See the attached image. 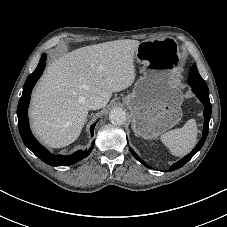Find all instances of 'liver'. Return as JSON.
<instances>
[{"instance_id": "1", "label": "liver", "mask_w": 227, "mask_h": 227, "mask_svg": "<svg viewBox=\"0 0 227 227\" xmlns=\"http://www.w3.org/2000/svg\"><path fill=\"white\" fill-rule=\"evenodd\" d=\"M140 42L123 39L78 48L49 64L32 94V131L46 146L73 143L86 122V101L99 96L103 107L112 93L135 80L134 56Z\"/></svg>"}]
</instances>
